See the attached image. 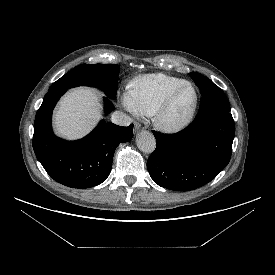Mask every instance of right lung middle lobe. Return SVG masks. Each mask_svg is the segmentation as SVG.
Returning a JSON list of instances; mask_svg holds the SVG:
<instances>
[{
    "label": "right lung middle lobe",
    "instance_id": "dd1d6c3e",
    "mask_svg": "<svg viewBox=\"0 0 275 275\" xmlns=\"http://www.w3.org/2000/svg\"><path fill=\"white\" fill-rule=\"evenodd\" d=\"M119 65L82 64L52 84L48 92L67 90L77 86L97 87L114 99L117 93Z\"/></svg>",
    "mask_w": 275,
    "mask_h": 275
}]
</instances>
